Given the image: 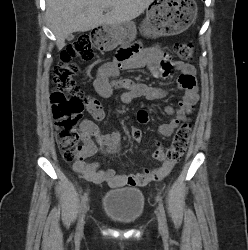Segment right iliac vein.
<instances>
[{"mask_svg":"<svg viewBox=\"0 0 248 250\" xmlns=\"http://www.w3.org/2000/svg\"><path fill=\"white\" fill-rule=\"evenodd\" d=\"M87 209L88 207L85 208V210L83 211V215H82V218H81V223H80V226H79V232H81L83 230V226H84V217H85V214L87 212Z\"/></svg>","mask_w":248,"mask_h":250,"instance_id":"right-iliac-vein-1","label":"right iliac vein"}]
</instances>
